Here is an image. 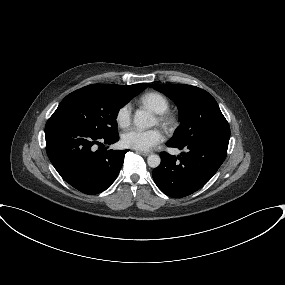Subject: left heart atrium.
I'll use <instances>...</instances> for the list:
<instances>
[{"label": "left heart atrium", "instance_id": "left-heart-atrium-1", "mask_svg": "<svg viewBox=\"0 0 285 285\" xmlns=\"http://www.w3.org/2000/svg\"><path fill=\"white\" fill-rule=\"evenodd\" d=\"M164 140L161 130L155 128L150 130H141L133 128L122 135L124 146L138 151H148L160 144Z\"/></svg>", "mask_w": 285, "mask_h": 285}]
</instances>
